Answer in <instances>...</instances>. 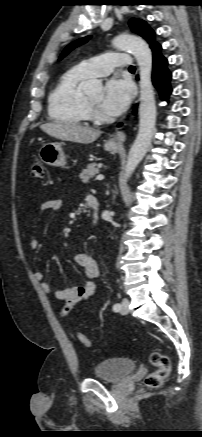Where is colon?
<instances>
[{"mask_svg":"<svg viewBox=\"0 0 202 437\" xmlns=\"http://www.w3.org/2000/svg\"><path fill=\"white\" fill-rule=\"evenodd\" d=\"M30 173L33 178H43L44 167L39 159L32 160L30 165ZM76 337L84 346H91L90 340L83 333L77 332ZM150 361L156 369L145 377L144 385L146 388L154 389L160 387L165 378L168 376L171 369V364L169 358L159 352L152 353L150 356Z\"/></svg>","mask_w":202,"mask_h":437,"instance_id":"colon-1","label":"colon"}]
</instances>
